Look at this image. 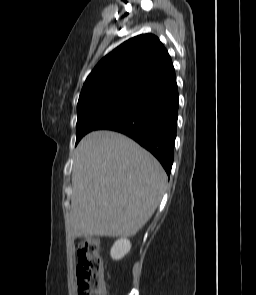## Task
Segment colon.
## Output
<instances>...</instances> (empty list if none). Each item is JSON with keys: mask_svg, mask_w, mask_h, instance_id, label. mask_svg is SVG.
<instances>
[{"mask_svg": "<svg viewBox=\"0 0 256 295\" xmlns=\"http://www.w3.org/2000/svg\"><path fill=\"white\" fill-rule=\"evenodd\" d=\"M78 265L76 283L78 295H105L101 245L96 238H83L76 244Z\"/></svg>", "mask_w": 256, "mask_h": 295, "instance_id": "1", "label": "colon"}]
</instances>
